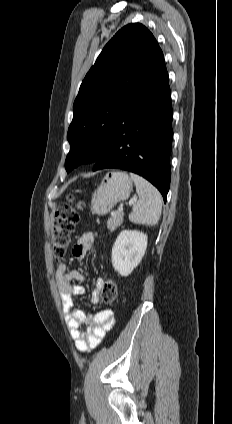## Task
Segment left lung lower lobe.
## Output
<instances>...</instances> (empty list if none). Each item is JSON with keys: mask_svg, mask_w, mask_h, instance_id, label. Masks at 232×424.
Wrapping results in <instances>:
<instances>
[{"mask_svg": "<svg viewBox=\"0 0 232 424\" xmlns=\"http://www.w3.org/2000/svg\"><path fill=\"white\" fill-rule=\"evenodd\" d=\"M172 138L171 93L163 58L126 105L93 171L118 168L139 174L158 188L166 202Z\"/></svg>", "mask_w": 232, "mask_h": 424, "instance_id": "obj_1", "label": "left lung lower lobe"}]
</instances>
